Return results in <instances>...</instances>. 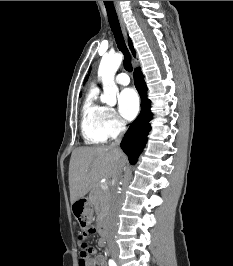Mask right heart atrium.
Listing matches in <instances>:
<instances>
[{
    "label": "right heart atrium",
    "mask_w": 233,
    "mask_h": 266,
    "mask_svg": "<svg viewBox=\"0 0 233 266\" xmlns=\"http://www.w3.org/2000/svg\"><path fill=\"white\" fill-rule=\"evenodd\" d=\"M125 128V123L120 119L116 111L111 107H105L102 120V131L105 136L107 138H116L124 132Z\"/></svg>",
    "instance_id": "obj_1"
}]
</instances>
